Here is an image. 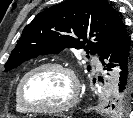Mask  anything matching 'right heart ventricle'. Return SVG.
Masks as SVG:
<instances>
[{
	"instance_id": "right-heart-ventricle-1",
	"label": "right heart ventricle",
	"mask_w": 133,
	"mask_h": 118,
	"mask_svg": "<svg viewBox=\"0 0 133 118\" xmlns=\"http://www.w3.org/2000/svg\"><path fill=\"white\" fill-rule=\"evenodd\" d=\"M18 86L19 84L17 85L15 90V108L19 113L26 114L28 113V111L25 109V107L21 104L19 100Z\"/></svg>"
}]
</instances>
